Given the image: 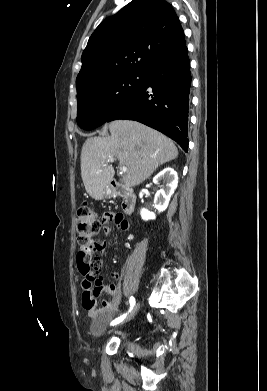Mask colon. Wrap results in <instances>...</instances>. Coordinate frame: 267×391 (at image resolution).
Here are the masks:
<instances>
[{
	"label": "colon",
	"mask_w": 267,
	"mask_h": 391,
	"mask_svg": "<svg viewBox=\"0 0 267 391\" xmlns=\"http://www.w3.org/2000/svg\"><path fill=\"white\" fill-rule=\"evenodd\" d=\"M101 227L99 216L89 205L79 207L76 214V233L80 252L94 254L103 248L104 243L98 238Z\"/></svg>",
	"instance_id": "obj_1"
}]
</instances>
